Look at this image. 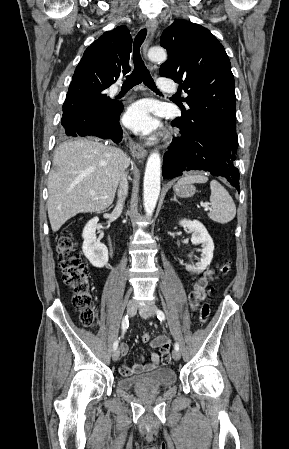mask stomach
<instances>
[{"mask_svg":"<svg viewBox=\"0 0 289 449\" xmlns=\"http://www.w3.org/2000/svg\"><path fill=\"white\" fill-rule=\"evenodd\" d=\"M174 193L182 198H188L193 196L196 189L192 184H175L173 187Z\"/></svg>","mask_w":289,"mask_h":449,"instance_id":"1","label":"stomach"}]
</instances>
